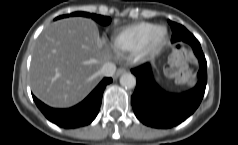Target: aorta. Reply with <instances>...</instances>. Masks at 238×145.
Returning <instances> with one entry per match:
<instances>
[{"label":"aorta","mask_w":238,"mask_h":145,"mask_svg":"<svg viewBox=\"0 0 238 145\" xmlns=\"http://www.w3.org/2000/svg\"><path fill=\"white\" fill-rule=\"evenodd\" d=\"M120 84H121V86H123L125 88L132 89L136 86V78L131 73H124L120 77Z\"/></svg>","instance_id":"obj_1"}]
</instances>
